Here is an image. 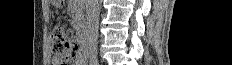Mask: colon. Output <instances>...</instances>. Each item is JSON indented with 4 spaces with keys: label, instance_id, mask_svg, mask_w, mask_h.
<instances>
[{
    "label": "colon",
    "instance_id": "colon-1",
    "mask_svg": "<svg viewBox=\"0 0 232 65\" xmlns=\"http://www.w3.org/2000/svg\"><path fill=\"white\" fill-rule=\"evenodd\" d=\"M52 53L56 64L68 65L77 54L76 44L66 35L61 26L54 28L51 34Z\"/></svg>",
    "mask_w": 232,
    "mask_h": 65
}]
</instances>
